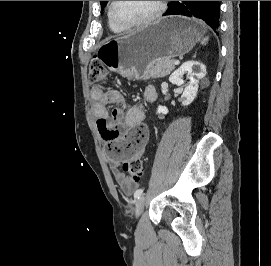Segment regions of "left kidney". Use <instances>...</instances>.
Wrapping results in <instances>:
<instances>
[{"label":"left kidney","instance_id":"left-kidney-1","mask_svg":"<svg viewBox=\"0 0 271 266\" xmlns=\"http://www.w3.org/2000/svg\"><path fill=\"white\" fill-rule=\"evenodd\" d=\"M185 73L190 76V82L184 86V91L181 96L182 106L191 104L195 99L198 92L199 80L205 77L206 67L196 61L185 62L171 74L169 81L178 86L184 85L182 76ZM157 113L166 115L168 109L165 106H158Z\"/></svg>","mask_w":271,"mask_h":266}]
</instances>
